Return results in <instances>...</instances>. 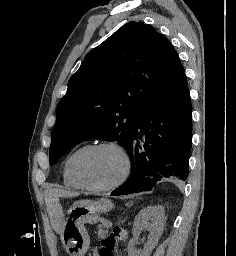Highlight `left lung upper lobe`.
Masks as SVG:
<instances>
[{
	"label": "left lung upper lobe",
	"instance_id": "1",
	"mask_svg": "<svg viewBox=\"0 0 236 256\" xmlns=\"http://www.w3.org/2000/svg\"><path fill=\"white\" fill-rule=\"evenodd\" d=\"M184 72L165 36L142 22L125 24L70 78L56 109L50 165L92 138L117 141L128 149L139 114Z\"/></svg>",
	"mask_w": 236,
	"mask_h": 256
}]
</instances>
